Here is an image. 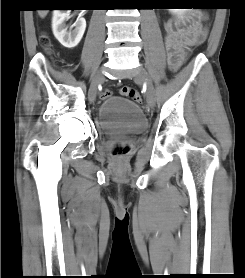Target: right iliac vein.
Here are the masks:
<instances>
[{"instance_id": "right-iliac-vein-1", "label": "right iliac vein", "mask_w": 245, "mask_h": 278, "mask_svg": "<svg viewBox=\"0 0 245 278\" xmlns=\"http://www.w3.org/2000/svg\"><path fill=\"white\" fill-rule=\"evenodd\" d=\"M103 80H104L103 71L98 70L94 75V78L92 80V83H91V86L89 89V93H88V97L91 102H94V100L96 98L98 86L102 83Z\"/></svg>"}]
</instances>
